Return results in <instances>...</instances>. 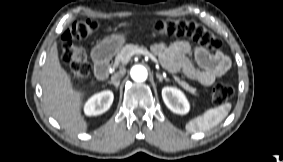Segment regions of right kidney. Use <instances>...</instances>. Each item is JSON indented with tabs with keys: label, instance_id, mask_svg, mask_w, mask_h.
I'll return each instance as SVG.
<instances>
[{
	"label": "right kidney",
	"instance_id": "ca27d5eb",
	"mask_svg": "<svg viewBox=\"0 0 283 162\" xmlns=\"http://www.w3.org/2000/svg\"><path fill=\"white\" fill-rule=\"evenodd\" d=\"M113 99L114 95L109 90L97 93L85 103L84 112L88 116L103 114L110 108Z\"/></svg>",
	"mask_w": 283,
	"mask_h": 162
}]
</instances>
